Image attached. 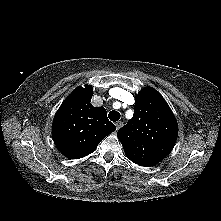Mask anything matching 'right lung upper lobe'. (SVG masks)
Returning a JSON list of instances; mask_svg holds the SVG:
<instances>
[{
  "label": "right lung upper lobe",
  "mask_w": 221,
  "mask_h": 221,
  "mask_svg": "<svg viewBox=\"0 0 221 221\" xmlns=\"http://www.w3.org/2000/svg\"><path fill=\"white\" fill-rule=\"evenodd\" d=\"M91 86L76 88L61 104L52 125L57 149L69 159L92 153L99 142L116 130L104 107H93Z\"/></svg>",
  "instance_id": "obj_1"
}]
</instances>
